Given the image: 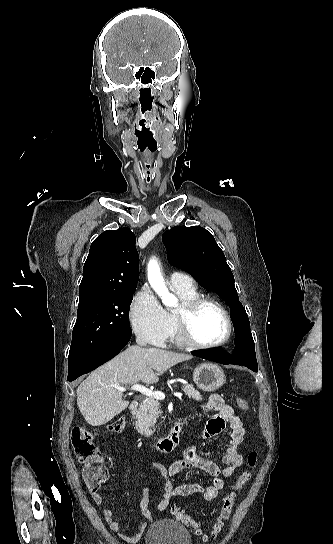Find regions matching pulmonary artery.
Instances as JSON below:
<instances>
[{"mask_svg":"<svg viewBox=\"0 0 333 544\" xmlns=\"http://www.w3.org/2000/svg\"><path fill=\"white\" fill-rule=\"evenodd\" d=\"M169 281L173 288L188 289L195 287L193 278L179 271L172 272Z\"/></svg>","mask_w":333,"mask_h":544,"instance_id":"pulmonary-artery-1","label":"pulmonary artery"}]
</instances>
